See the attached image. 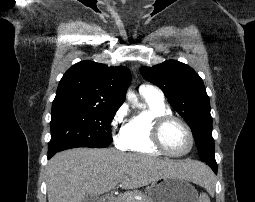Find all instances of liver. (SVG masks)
Masks as SVG:
<instances>
[{
    "instance_id": "6515ba94",
    "label": "liver",
    "mask_w": 255,
    "mask_h": 202,
    "mask_svg": "<svg viewBox=\"0 0 255 202\" xmlns=\"http://www.w3.org/2000/svg\"><path fill=\"white\" fill-rule=\"evenodd\" d=\"M193 160L159 159L113 148H76L57 153L47 166L48 202H81L85 194L101 195L118 183L124 189L146 186L165 176L200 182Z\"/></svg>"
}]
</instances>
